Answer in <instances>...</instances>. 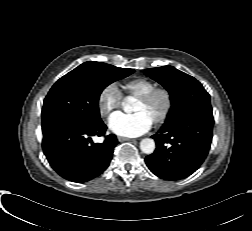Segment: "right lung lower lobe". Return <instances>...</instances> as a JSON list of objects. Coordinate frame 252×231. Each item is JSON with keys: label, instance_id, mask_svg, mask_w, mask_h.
I'll list each match as a JSON object with an SVG mask.
<instances>
[{"label": "right lung lower lobe", "instance_id": "right-lung-lower-lobe-1", "mask_svg": "<svg viewBox=\"0 0 252 231\" xmlns=\"http://www.w3.org/2000/svg\"><path fill=\"white\" fill-rule=\"evenodd\" d=\"M106 125L63 122L43 131L42 147L51 167L63 178L86 182L100 175L112 158L118 140L114 134L103 143H93L94 135L104 136Z\"/></svg>", "mask_w": 252, "mask_h": 231}]
</instances>
